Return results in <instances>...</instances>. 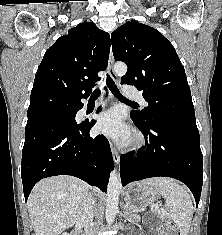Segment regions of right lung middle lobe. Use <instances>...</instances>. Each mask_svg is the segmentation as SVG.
<instances>
[{
	"instance_id": "right-lung-middle-lobe-1",
	"label": "right lung middle lobe",
	"mask_w": 222,
	"mask_h": 235,
	"mask_svg": "<svg viewBox=\"0 0 222 235\" xmlns=\"http://www.w3.org/2000/svg\"><path fill=\"white\" fill-rule=\"evenodd\" d=\"M71 121L73 120L62 118L60 113L28 120L26 125V138L49 129L67 128Z\"/></svg>"
}]
</instances>
